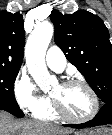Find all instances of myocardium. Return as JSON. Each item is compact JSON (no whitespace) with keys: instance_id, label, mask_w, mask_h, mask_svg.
Here are the masks:
<instances>
[{"instance_id":"1","label":"myocardium","mask_w":112,"mask_h":135,"mask_svg":"<svg viewBox=\"0 0 112 135\" xmlns=\"http://www.w3.org/2000/svg\"><path fill=\"white\" fill-rule=\"evenodd\" d=\"M62 84L63 85H81V86H83L90 95L91 102H92V108L86 116L77 117V116L71 115L68 112H66L62 108V106L60 105L58 100L50 95L51 105H52V108L55 111V113L58 116H60L61 118L66 119L71 122H75V123H85V122H88V121H91L92 119H94L99 112L100 105H99L98 96H97L95 90L92 88V86L83 79H75V78L68 79V80L64 81Z\"/></svg>"}]
</instances>
